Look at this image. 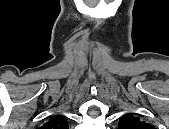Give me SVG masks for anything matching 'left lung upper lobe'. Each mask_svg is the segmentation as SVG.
<instances>
[{
	"instance_id": "obj_1",
	"label": "left lung upper lobe",
	"mask_w": 169,
	"mask_h": 129,
	"mask_svg": "<svg viewBox=\"0 0 169 129\" xmlns=\"http://www.w3.org/2000/svg\"><path fill=\"white\" fill-rule=\"evenodd\" d=\"M154 126L128 113L121 117L118 129H153Z\"/></svg>"
}]
</instances>
